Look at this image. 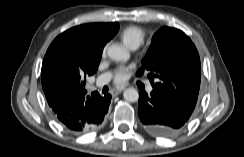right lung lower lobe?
Listing matches in <instances>:
<instances>
[{
  "mask_svg": "<svg viewBox=\"0 0 244 157\" xmlns=\"http://www.w3.org/2000/svg\"><path fill=\"white\" fill-rule=\"evenodd\" d=\"M110 101V94L100 96L94 92L91 97L77 94L70 99L48 101V104L63 127L72 132H88L103 123Z\"/></svg>",
  "mask_w": 244,
  "mask_h": 157,
  "instance_id": "98d812e1",
  "label": "right lung lower lobe"
}]
</instances>
